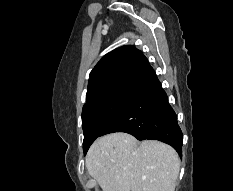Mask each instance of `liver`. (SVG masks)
Listing matches in <instances>:
<instances>
[{
    "instance_id": "6515ba94",
    "label": "liver",
    "mask_w": 233,
    "mask_h": 191,
    "mask_svg": "<svg viewBox=\"0 0 233 191\" xmlns=\"http://www.w3.org/2000/svg\"><path fill=\"white\" fill-rule=\"evenodd\" d=\"M89 175L103 191H175L180 159L169 145L127 133L98 138L87 153Z\"/></svg>"
}]
</instances>
